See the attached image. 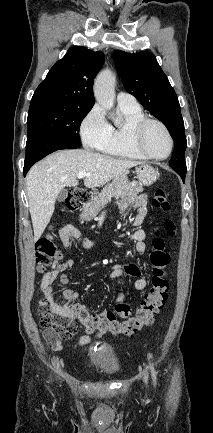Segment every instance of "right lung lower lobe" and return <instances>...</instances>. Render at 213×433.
I'll list each match as a JSON object with an SVG mask.
<instances>
[{
  "label": "right lung lower lobe",
  "instance_id": "98d812e1",
  "mask_svg": "<svg viewBox=\"0 0 213 433\" xmlns=\"http://www.w3.org/2000/svg\"><path fill=\"white\" fill-rule=\"evenodd\" d=\"M76 148H78V146L52 135L40 134L27 138L26 158L23 171L24 176L36 161L44 158L48 154L60 149Z\"/></svg>",
  "mask_w": 213,
  "mask_h": 433
}]
</instances>
